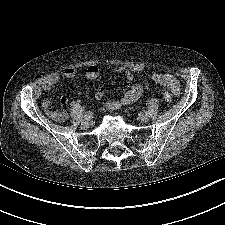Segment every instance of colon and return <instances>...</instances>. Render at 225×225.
Returning <instances> with one entry per match:
<instances>
[{
    "instance_id": "obj_1",
    "label": "colon",
    "mask_w": 225,
    "mask_h": 225,
    "mask_svg": "<svg viewBox=\"0 0 225 225\" xmlns=\"http://www.w3.org/2000/svg\"><path fill=\"white\" fill-rule=\"evenodd\" d=\"M163 98H164V101L166 104H169L172 101V95L169 92H164ZM62 116H64V115L62 114Z\"/></svg>"
}]
</instances>
